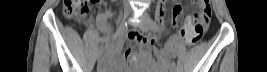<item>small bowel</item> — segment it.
<instances>
[{"label":"small bowel","instance_id":"c3829d8e","mask_svg":"<svg viewBox=\"0 0 267 72\" xmlns=\"http://www.w3.org/2000/svg\"><path fill=\"white\" fill-rule=\"evenodd\" d=\"M160 12L161 13H164V6L161 5L160 6ZM172 15H173V20L174 22H177V21H180L184 24H188V23H192L193 21H195L196 19L189 15L187 17H185V19H179V16L181 15V7L180 5L176 4L174 5L173 7V10H172ZM102 25H104V21L102 22ZM126 40H128L129 42H133L135 41L136 43H138L141 47H146V46H149V45H152L154 44L155 42V39L153 37H149L147 35H136L134 33H131L129 34L127 37H126ZM110 50V48H109ZM156 56L158 58H161V53L159 51H156L155 52ZM125 56L126 58H129L131 57V47H129L126 52H125ZM146 62L149 64V65H152L150 67V72H159V71H163L161 70L160 68H157V67H154V62L152 60V58L150 57H147L146 58ZM163 64H165V62L163 61Z\"/></svg>","mask_w":267,"mask_h":72}]
</instances>
